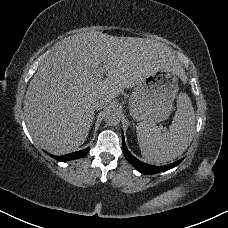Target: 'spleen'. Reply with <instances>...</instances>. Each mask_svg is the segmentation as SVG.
I'll list each match as a JSON object with an SVG mask.
<instances>
[{
    "mask_svg": "<svg viewBox=\"0 0 228 228\" xmlns=\"http://www.w3.org/2000/svg\"><path fill=\"white\" fill-rule=\"evenodd\" d=\"M137 139L142 157L150 164H163L182 155L190 145L195 129V112L186 93L177 99V111L169 130L162 133L156 124L138 123Z\"/></svg>",
    "mask_w": 228,
    "mask_h": 228,
    "instance_id": "3e777b00",
    "label": "spleen"
}]
</instances>
